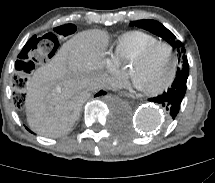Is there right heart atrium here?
I'll list each match as a JSON object with an SVG mask.
<instances>
[{"label":"right heart atrium","instance_id":"1","mask_svg":"<svg viewBox=\"0 0 215 183\" xmlns=\"http://www.w3.org/2000/svg\"><path fill=\"white\" fill-rule=\"evenodd\" d=\"M107 68L111 74L115 76L118 81L123 80V75L121 72V62L116 56H112L107 61Z\"/></svg>","mask_w":215,"mask_h":183}]
</instances>
